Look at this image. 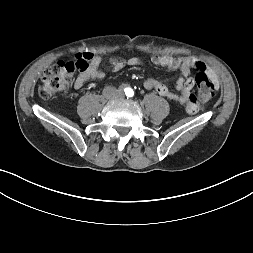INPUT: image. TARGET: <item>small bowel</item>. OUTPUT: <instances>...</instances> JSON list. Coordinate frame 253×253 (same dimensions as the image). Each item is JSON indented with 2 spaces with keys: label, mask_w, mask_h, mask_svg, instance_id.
<instances>
[{
  "label": "small bowel",
  "mask_w": 253,
  "mask_h": 253,
  "mask_svg": "<svg viewBox=\"0 0 253 253\" xmlns=\"http://www.w3.org/2000/svg\"><path fill=\"white\" fill-rule=\"evenodd\" d=\"M151 61L154 65L166 67L170 70H180L181 77L176 80L175 88L178 93L172 92L163 82L155 78H148L144 81V87L147 90H153L160 96L169 100L185 103V111L189 115H194L203 108L202 101L197 94L191 92L194 87V81L189 78L191 69L194 68L196 61L187 57H172L169 55L153 56ZM103 58L100 55H93L88 69L81 73L74 82L75 89H81L89 79H103L105 72L101 69ZM141 61L133 56L127 60L113 59L110 62L112 71H119L125 66H138Z\"/></svg>",
  "instance_id": "small-bowel-1"
}]
</instances>
